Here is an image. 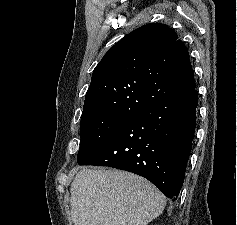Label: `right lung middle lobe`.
<instances>
[{
	"label": "right lung middle lobe",
	"instance_id": "1",
	"mask_svg": "<svg viewBox=\"0 0 237 225\" xmlns=\"http://www.w3.org/2000/svg\"><path fill=\"white\" fill-rule=\"evenodd\" d=\"M132 117L103 116L81 119V144L77 162L123 127Z\"/></svg>",
	"mask_w": 237,
	"mask_h": 225
}]
</instances>
